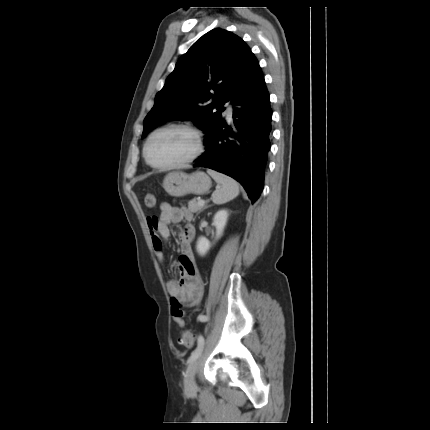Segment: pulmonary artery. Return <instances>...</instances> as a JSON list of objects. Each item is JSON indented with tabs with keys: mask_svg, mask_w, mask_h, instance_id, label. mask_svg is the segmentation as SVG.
I'll use <instances>...</instances> for the list:
<instances>
[{
	"mask_svg": "<svg viewBox=\"0 0 430 430\" xmlns=\"http://www.w3.org/2000/svg\"><path fill=\"white\" fill-rule=\"evenodd\" d=\"M227 113L230 114L232 111V106L230 104L227 105Z\"/></svg>",
	"mask_w": 430,
	"mask_h": 430,
	"instance_id": "pulmonary-artery-1",
	"label": "pulmonary artery"
}]
</instances>
